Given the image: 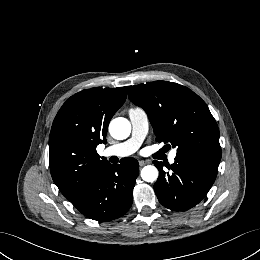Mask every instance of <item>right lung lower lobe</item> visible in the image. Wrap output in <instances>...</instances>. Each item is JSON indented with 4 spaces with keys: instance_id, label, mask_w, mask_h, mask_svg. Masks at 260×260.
<instances>
[{
    "instance_id": "right-lung-lower-lobe-1",
    "label": "right lung lower lobe",
    "mask_w": 260,
    "mask_h": 260,
    "mask_svg": "<svg viewBox=\"0 0 260 260\" xmlns=\"http://www.w3.org/2000/svg\"><path fill=\"white\" fill-rule=\"evenodd\" d=\"M138 174L139 165L134 158H124L116 165L107 163L72 204L90 219L100 222L117 219L132 205Z\"/></svg>"
}]
</instances>
